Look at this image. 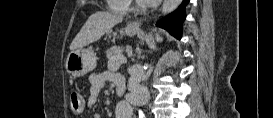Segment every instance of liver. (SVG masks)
Here are the masks:
<instances>
[{
    "label": "liver",
    "instance_id": "liver-1",
    "mask_svg": "<svg viewBox=\"0 0 273 118\" xmlns=\"http://www.w3.org/2000/svg\"><path fill=\"white\" fill-rule=\"evenodd\" d=\"M121 15L109 12H96L92 14L79 33L73 39L70 50L74 51L101 39V37L116 24L121 23Z\"/></svg>",
    "mask_w": 273,
    "mask_h": 118
}]
</instances>
